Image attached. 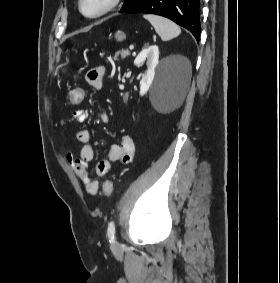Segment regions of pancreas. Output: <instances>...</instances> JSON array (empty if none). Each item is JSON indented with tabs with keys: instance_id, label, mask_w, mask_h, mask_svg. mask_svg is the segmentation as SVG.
Masks as SVG:
<instances>
[{
	"instance_id": "cf45deb5",
	"label": "pancreas",
	"mask_w": 280,
	"mask_h": 283,
	"mask_svg": "<svg viewBox=\"0 0 280 283\" xmlns=\"http://www.w3.org/2000/svg\"><path fill=\"white\" fill-rule=\"evenodd\" d=\"M130 55V52L128 50H121V51H118L115 53L113 59L115 61L118 60L119 56L122 58V59H125L126 57H128Z\"/></svg>"
}]
</instances>
